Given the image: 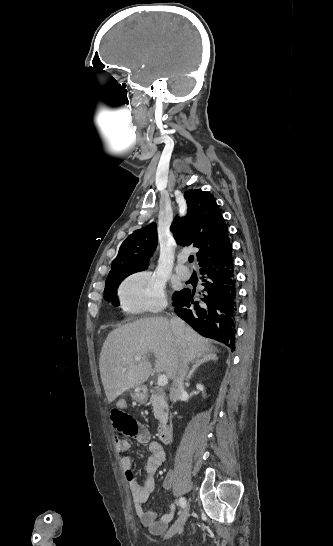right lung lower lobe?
Returning a JSON list of instances; mask_svg holds the SVG:
<instances>
[{"mask_svg": "<svg viewBox=\"0 0 333 546\" xmlns=\"http://www.w3.org/2000/svg\"><path fill=\"white\" fill-rule=\"evenodd\" d=\"M232 246L228 245L211 261L201 265L203 275L200 301L191 290L173 295L175 313L201 335L215 339L235 350L237 286Z\"/></svg>", "mask_w": 333, "mask_h": 546, "instance_id": "1", "label": "right lung lower lobe"}]
</instances>
